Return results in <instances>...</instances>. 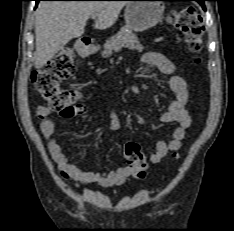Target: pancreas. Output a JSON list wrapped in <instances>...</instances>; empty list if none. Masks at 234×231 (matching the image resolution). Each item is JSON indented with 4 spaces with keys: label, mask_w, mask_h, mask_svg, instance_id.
<instances>
[{
    "label": "pancreas",
    "mask_w": 234,
    "mask_h": 231,
    "mask_svg": "<svg viewBox=\"0 0 234 231\" xmlns=\"http://www.w3.org/2000/svg\"><path fill=\"white\" fill-rule=\"evenodd\" d=\"M122 48L137 51L143 50V46L140 44L137 36L128 27H122L116 35L107 40L102 56L110 57L113 52L120 51Z\"/></svg>",
    "instance_id": "cf45deb5"
}]
</instances>
